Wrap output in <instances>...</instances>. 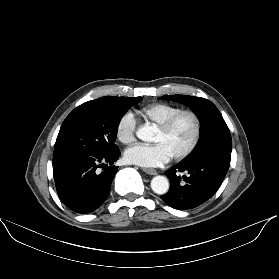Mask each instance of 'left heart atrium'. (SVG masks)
<instances>
[{
    "instance_id": "obj_1",
    "label": "left heart atrium",
    "mask_w": 279,
    "mask_h": 279,
    "mask_svg": "<svg viewBox=\"0 0 279 279\" xmlns=\"http://www.w3.org/2000/svg\"><path fill=\"white\" fill-rule=\"evenodd\" d=\"M172 157L163 143L154 145H135L125 152V158L129 163L142 167H154L165 164Z\"/></svg>"
}]
</instances>
